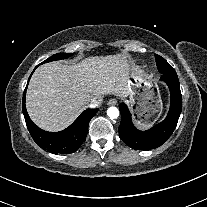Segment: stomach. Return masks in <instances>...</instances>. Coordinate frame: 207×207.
Instances as JSON below:
<instances>
[{
	"label": "stomach",
	"instance_id": "0dacf381",
	"mask_svg": "<svg viewBox=\"0 0 207 207\" xmlns=\"http://www.w3.org/2000/svg\"><path fill=\"white\" fill-rule=\"evenodd\" d=\"M129 97L133 112L137 115L140 125L149 128L163 108L161 94L148 80L139 77H129Z\"/></svg>",
	"mask_w": 207,
	"mask_h": 207
}]
</instances>
